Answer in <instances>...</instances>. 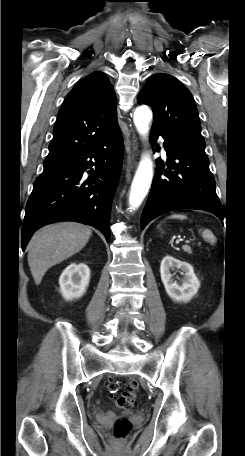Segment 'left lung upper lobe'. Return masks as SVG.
Wrapping results in <instances>:
<instances>
[{"label":"left lung upper lobe","mask_w":245,"mask_h":456,"mask_svg":"<svg viewBox=\"0 0 245 456\" xmlns=\"http://www.w3.org/2000/svg\"><path fill=\"white\" fill-rule=\"evenodd\" d=\"M137 101L152 108V130L172 132L186 142L205 149L194 98L175 77L163 73L150 76Z\"/></svg>","instance_id":"5c2ea615"}]
</instances>
